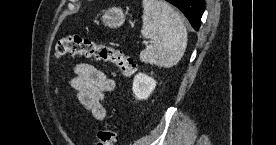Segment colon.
I'll return each mask as SVG.
<instances>
[{
	"instance_id": "5ec220e1",
	"label": "colon",
	"mask_w": 276,
	"mask_h": 145,
	"mask_svg": "<svg viewBox=\"0 0 276 145\" xmlns=\"http://www.w3.org/2000/svg\"><path fill=\"white\" fill-rule=\"evenodd\" d=\"M55 55H83L97 62L112 64L117 67L125 77H131L136 71L133 59L124 54L120 49L97 43L91 38L80 34H72L62 37L55 46ZM117 133L113 129L104 128L99 130L97 145H115Z\"/></svg>"
}]
</instances>
